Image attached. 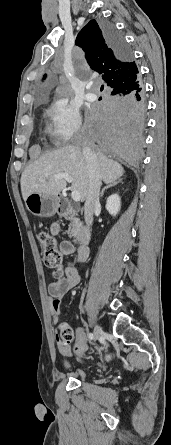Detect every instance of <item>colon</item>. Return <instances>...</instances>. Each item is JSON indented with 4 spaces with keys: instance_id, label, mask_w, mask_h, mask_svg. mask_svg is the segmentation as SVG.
<instances>
[{
    "instance_id": "obj_1",
    "label": "colon",
    "mask_w": 171,
    "mask_h": 445,
    "mask_svg": "<svg viewBox=\"0 0 171 445\" xmlns=\"http://www.w3.org/2000/svg\"><path fill=\"white\" fill-rule=\"evenodd\" d=\"M39 239L42 244L43 261L45 266L55 270V276L60 278L62 276L61 268L63 266V258L57 249L55 238L50 234L40 233ZM59 339L64 344L72 343L74 339L72 329L65 324L61 325L59 329ZM83 351V347L76 345L75 352L77 354L80 355Z\"/></svg>"
}]
</instances>
